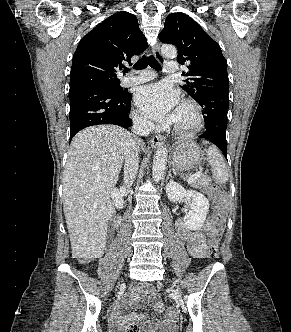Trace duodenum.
<instances>
[{
  "label": "duodenum",
  "instance_id": "duodenum-1",
  "mask_svg": "<svg viewBox=\"0 0 291 332\" xmlns=\"http://www.w3.org/2000/svg\"><path fill=\"white\" fill-rule=\"evenodd\" d=\"M119 222H120V219L117 218V219L115 220V224L118 226V225H119Z\"/></svg>",
  "mask_w": 291,
  "mask_h": 332
}]
</instances>
